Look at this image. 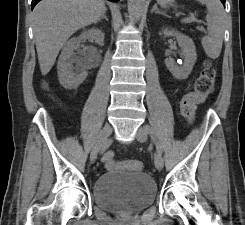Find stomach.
<instances>
[{
	"mask_svg": "<svg viewBox=\"0 0 245 225\" xmlns=\"http://www.w3.org/2000/svg\"><path fill=\"white\" fill-rule=\"evenodd\" d=\"M173 0H168V2H172Z\"/></svg>",
	"mask_w": 245,
	"mask_h": 225,
	"instance_id": "0dacf381",
	"label": "stomach"
}]
</instances>
